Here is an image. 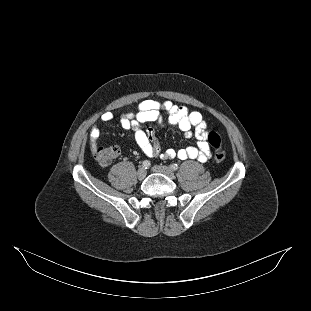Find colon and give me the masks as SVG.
<instances>
[{
	"label": "colon",
	"mask_w": 311,
	"mask_h": 311,
	"mask_svg": "<svg viewBox=\"0 0 311 311\" xmlns=\"http://www.w3.org/2000/svg\"><path fill=\"white\" fill-rule=\"evenodd\" d=\"M209 145L214 149V158L216 161H223L226 153L221 148V137L215 132L211 131L207 137ZM95 160L101 166H107L112 163L119 154V149L116 146L97 147L93 151Z\"/></svg>",
	"instance_id": "obj_1"
}]
</instances>
